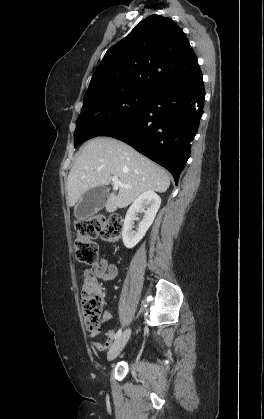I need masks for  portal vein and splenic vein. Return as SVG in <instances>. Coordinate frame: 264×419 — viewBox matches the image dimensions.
Returning a JSON list of instances; mask_svg holds the SVG:
<instances>
[{
  "label": "portal vein and splenic vein",
  "mask_w": 264,
  "mask_h": 419,
  "mask_svg": "<svg viewBox=\"0 0 264 419\" xmlns=\"http://www.w3.org/2000/svg\"><path fill=\"white\" fill-rule=\"evenodd\" d=\"M112 182H113V184H114V187H115V188H118V187L129 188V187H130L129 185L122 183V182L118 179V177H116V176H113V177H112Z\"/></svg>",
  "instance_id": "obj_1"
}]
</instances>
